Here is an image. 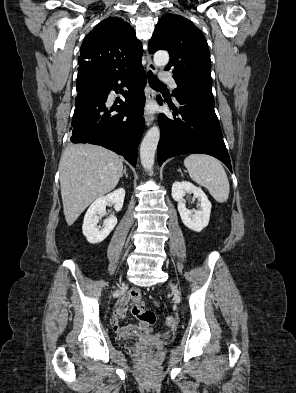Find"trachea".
Listing matches in <instances>:
<instances>
[{
  "label": "trachea",
  "mask_w": 296,
  "mask_h": 393,
  "mask_svg": "<svg viewBox=\"0 0 296 393\" xmlns=\"http://www.w3.org/2000/svg\"><path fill=\"white\" fill-rule=\"evenodd\" d=\"M148 82L153 88L166 87L163 83L159 82L153 75L152 71H148Z\"/></svg>",
  "instance_id": "trachea-1"
}]
</instances>
